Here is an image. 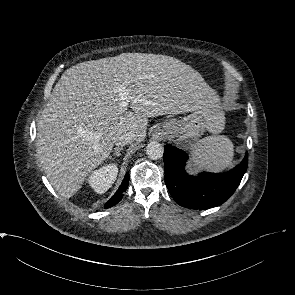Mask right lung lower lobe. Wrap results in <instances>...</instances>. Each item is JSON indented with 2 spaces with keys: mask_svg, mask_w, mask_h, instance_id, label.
Returning a JSON list of instances; mask_svg holds the SVG:
<instances>
[{
  "mask_svg": "<svg viewBox=\"0 0 295 295\" xmlns=\"http://www.w3.org/2000/svg\"><path fill=\"white\" fill-rule=\"evenodd\" d=\"M129 183V175L128 173L125 175L124 180L116 193L111 197V199L105 204V208H110L116 205L123 197V193L126 191Z\"/></svg>",
  "mask_w": 295,
  "mask_h": 295,
  "instance_id": "98d812e1",
  "label": "right lung lower lobe"
}]
</instances>
